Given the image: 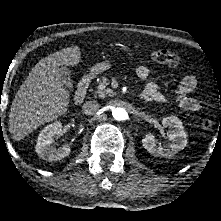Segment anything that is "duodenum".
Listing matches in <instances>:
<instances>
[{"label": "duodenum", "mask_w": 221, "mask_h": 221, "mask_svg": "<svg viewBox=\"0 0 221 221\" xmlns=\"http://www.w3.org/2000/svg\"><path fill=\"white\" fill-rule=\"evenodd\" d=\"M91 81H92V76L90 74L85 75L80 80L74 96L75 104H81L85 100Z\"/></svg>", "instance_id": "obj_1"}]
</instances>
